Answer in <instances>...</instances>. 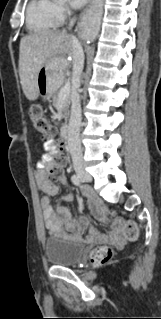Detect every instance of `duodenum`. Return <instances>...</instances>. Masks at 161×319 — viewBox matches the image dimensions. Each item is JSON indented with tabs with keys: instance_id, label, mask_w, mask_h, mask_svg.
<instances>
[{
	"instance_id": "duodenum-1",
	"label": "duodenum",
	"mask_w": 161,
	"mask_h": 319,
	"mask_svg": "<svg viewBox=\"0 0 161 319\" xmlns=\"http://www.w3.org/2000/svg\"><path fill=\"white\" fill-rule=\"evenodd\" d=\"M70 136V126L68 123H64L61 127V137L63 142L67 143Z\"/></svg>"
}]
</instances>
